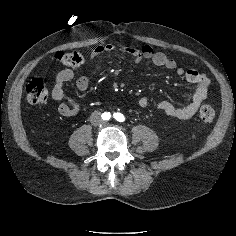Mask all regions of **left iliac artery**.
I'll return each mask as SVG.
<instances>
[{
  "mask_svg": "<svg viewBox=\"0 0 236 236\" xmlns=\"http://www.w3.org/2000/svg\"><path fill=\"white\" fill-rule=\"evenodd\" d=\"M114 118H115L117 121H119V122H123V121L125 120L124 115L121 114V113H115V114H114Z\"/></svg>",
  "mask_w": 236,
  "mask_h": 236,
  "instance_id": "obj_1",
  "label": "left iliac artery"
}]
</instances>
